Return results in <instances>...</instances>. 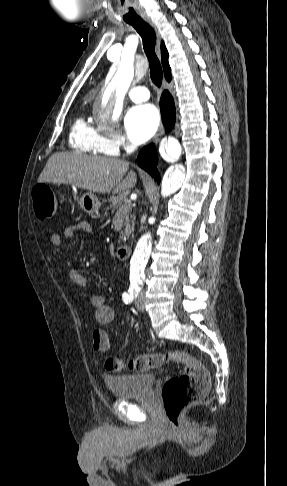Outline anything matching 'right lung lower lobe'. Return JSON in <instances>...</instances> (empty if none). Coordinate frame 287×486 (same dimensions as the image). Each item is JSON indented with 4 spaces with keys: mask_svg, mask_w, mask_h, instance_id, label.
Here are the masks:
<instances>
[{
    "mask_svg": "<svg viewBox=\"0 0 287 486\" xmlns=\"http://www.w3.org/2000/svg\"><path fill=\"white\" fill-rule=\"evenodd\" d=\"M170 81V80H168ZM160 109L162 121L169 131L175 123V106L172 96L168 91H164L160 99ZM138 165L150 173L157 181L160 180L158 171L156 169L157 153L154 144L144 147L137 157Z\"/></svg>",
    "mask_w": 287,
    "mask_h": 486,
    "instance_id": "obj_1",
    "label": "right lung lower lobe"
}]
</instances>
